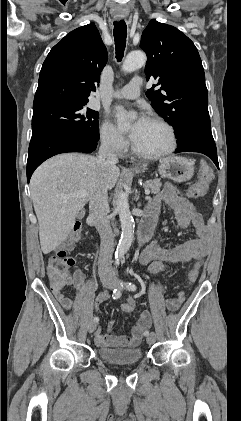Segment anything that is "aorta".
I'll return each instance as SVG.
<instances>
[{"label":"aorta","mask_w":241,"mask_h":421,"mask_svg":"<svg viewBox=\"0 0 241 421\" xmlns=\"http://www.w3.org/2000/svg\"><path fill=\"white\" fill-rule=\"evenodd\" d=\"M146 63V55L142 51H133L129 53L122 65V70L124 72H133L136 69L142 67ZM117 110L120 112L123 111L121 107H118ZM129 121L122 123V128L129 127ZM116 210L119 214V219L121 223V238L117 246L115 253L116 263L121 259L124 254L129 250L133 238H134V219L131 215L129 208L128 195L121 191L116 200Z\"/></svg>","instance_id":"obj_1"}]
</instances>
